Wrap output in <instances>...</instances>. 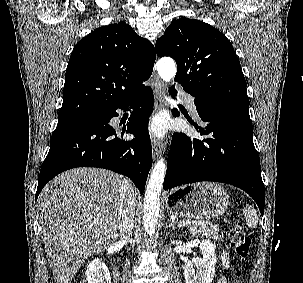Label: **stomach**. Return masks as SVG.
<instances>
[{
  "mask_svg": "<svg viewBox=\"0 0 303 283\" xmlns=\"http://www.w3.org/2000/svg\"><path fill=\"white\" fill-rule=\"evenodd\" d=\"M229 196L219 184L204 182L171 190L166 196L170 213L190 219H212L227 209Z\"/></svg>",
  "mask_w": 303,
  "mask_h": 283,
  "instance_id": "0dacf381",
  "label": "stomach"
}]
</instances>
